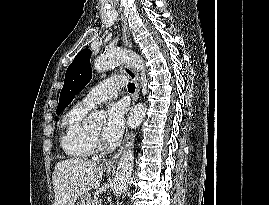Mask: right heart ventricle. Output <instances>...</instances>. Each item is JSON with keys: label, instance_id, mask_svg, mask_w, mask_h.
Returning a JSON list of instances; mask_svg holds the SVG:
<instances>
[{"label": "right heart ventricle", "instance_id": "obj_1", "mask_svg": "<svg viewBox=\"0 0 269 205\" xmlns=\"http://www.w3.org/2000/svg\"><path fill=\"white\" fill-rule=\"evenodd\" d=\"M88 109L75 105L62 120L60 145L63 152L71 159H87L94 153L88 131L83 127V120Z\"/></svg>", "mask_w": 269, "mask_h": 205}]
</instances>
